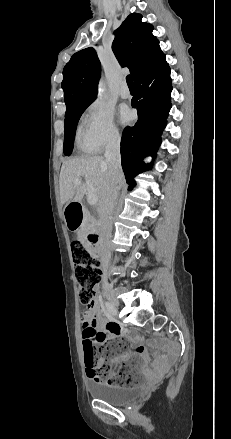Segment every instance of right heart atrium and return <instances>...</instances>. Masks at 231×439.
Listing matches in <instances>:
<instances>
[{
  "label": "right heart atrium",
  "mask_w": 231,
  "mask_h": 439,
  "mask_svg": "<svg viewBox=\"0 0 231 439\" xmlns=\"http://www.w3.org/2000/svg\"><path fill=\"white\" fill-rule=\"evenodd\" d=\"M81 137L95 152L118 145L121 136L113 111L102 102L91 103L82 117Z\"/></svg>",
  "instance_id": "1"
}]
</instances>
